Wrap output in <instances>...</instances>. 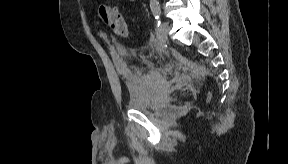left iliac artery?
<instances>
[{"label": "left iliac artery", "mask_w": 288, "mask_h": 164, "mask_svg": "<svg viewBox=\"0 0 288 164\" xmlns=\"http://www.w3.org/2000/svg\"><path fill=\"white\" fill-rule=\"evenodd\" d=\"M150 8L152 11L153 16L155 17L156 21H157V26L159 27L161 21V9H160V5L157 2V0H151L150 1Z\"/></svg>", "instance_id": "left-iliac-artery-1"}]
</instances>
